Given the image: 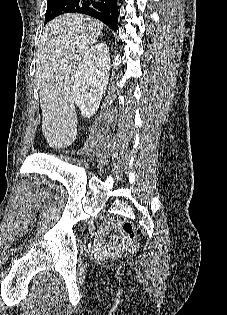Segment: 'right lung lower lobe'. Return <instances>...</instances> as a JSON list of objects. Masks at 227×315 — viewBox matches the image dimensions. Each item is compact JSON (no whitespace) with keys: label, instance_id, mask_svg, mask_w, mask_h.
Segmentation results:
<instances>
[{"label":"right lung lower lobe","instance_id":"right-lung-lower-lobe-1","mask_svg":"<svg viewBox=\"0 0 227 315\" xmlns=\"http://www.w3.org/2000/svg\"><path fill=\"white\" fill-rule=\"evenodd\" d=\"M65 13L90 15L104 22L115 32L117 30L116 0H48L45 23Z\"/></svg>","mask_w":227,"mask_h":315}]
</instances>
